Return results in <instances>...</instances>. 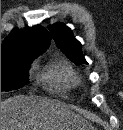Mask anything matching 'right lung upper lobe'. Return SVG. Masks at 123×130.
I'll return each mask as SVG.
<instances>
[{
  "instance_id": "1",
  "label": "right lung upper lobe",
  "mask_w": 123,
  "mask_h": 130,
  "mask_svg": "<svg viewBox=\"0 0 123 130\" xmlns=\"http://www.w3.org/2000/svg\"><path fill=\"white\" fill-rule=\"evenodd\" d=\"M51 36L42 26L14 28L1 44V60L20 55H40L50 44Z\"/></svg>"
}]
</instances>
